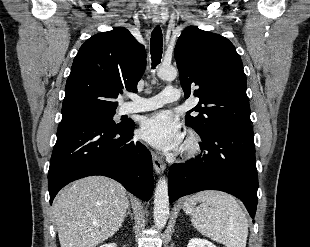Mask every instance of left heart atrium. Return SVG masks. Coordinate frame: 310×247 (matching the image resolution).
Returning <instances> with one entry per match:
<instances>
[{
  "label": "left heart atrium",
  "mask_w": 310,
  "mask_h": 247,
  "mask_svg": "<svg viewBox=\"0 0 310 247\" xmlns=\"http://www.w3.org/2000/svg\"><path fill=\"white\" fill-rule=\"evenodd\" d=\"M140 136L163 151L178 149L183 138L178 121L168 111H160L148 117L141 126Z\"/></svg>",
  "instance_id": "left-heart-atrium-1"
}]
</instances>
